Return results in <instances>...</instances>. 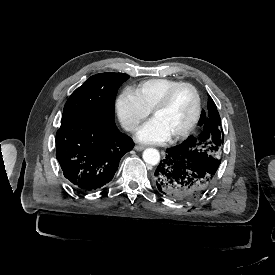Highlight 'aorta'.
I'll list each match as a JSON object with an SVG mask.
<instances>
[{"label":"aorta","instance_id":"obj_1","mask_svg":"<svg viewBox=\"0 0 275 275\" xmlns=\"http://www.w3.org/2000/svg\"><path fill=\"white\" fill-rule=\"evenodd\" d=\"M143 160L146 164L155 166L160 162V153L156 149L148 148L143 152Z\"/></svg>","mask_w":275,"mask_h":275}]
</instances>
